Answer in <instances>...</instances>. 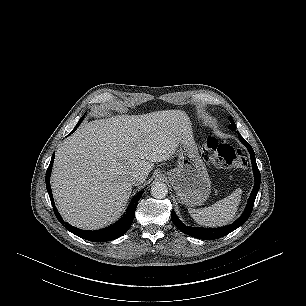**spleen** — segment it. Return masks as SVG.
<instances>
[{"label": "spleen", "mask_w": 306, "mask_h": 306, "mask_svg": "<svg viewBox=\"0 0 306 306\" xmlns=\"http://www.w3.org/2000/svg\"><path fill=\"white\" fill-rule=\"evenodd\" d=\"M242 189L237 188L226 198L203 209H188L191 217L201 226L217 227L230 223L238 210Z\"/></svg>", "instance_id": "spleen-1"}]
</instances>
